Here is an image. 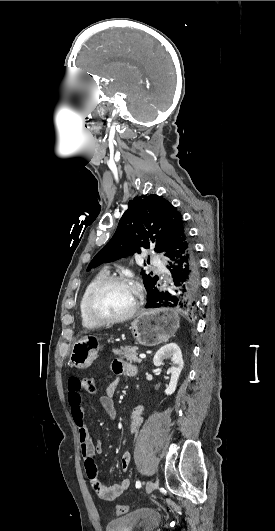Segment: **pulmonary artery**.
Wrapping results in <instances>:
<instances>
[{"label": "pulmonary artery", "mask_w": 275, "mask_h": 531, "mask_svg": "<svg viewBox=\"0 0 275 531\" xmlns=\"http://www.w3.org/2000/svg\"><path fill=\"white\" fill-rule=\"evenodd\" d=\"M150 261L153 268L156 269L159 274L164 275L167 273V266L165 265L164 261L159 258V256L155 255V253H152Z\"/></svg>", "instance_id": "1"}]
</instances>
